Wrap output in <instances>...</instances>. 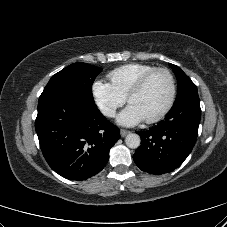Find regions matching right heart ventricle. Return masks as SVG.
Returning a JSON list of instances; mask_svg holds the SVG:
<instances>
[{
	"label": "right heart ventricle",
	"mask_w": 227,
	"mask_h": 227,
	"mask_svg": "<svg viewBox=\"0 0 227 227\" xmlns=\"http://www.w3.org/2000/svg\"><path fill=\"white\" fill-rule=\"evenodd\" d=\"M155 68L145 63H129L119 66L108 73L110 84L114 89L126 97L133 84L146 72Z\"/></svg>",
	"instance_id": "1"
}]
</instances>
